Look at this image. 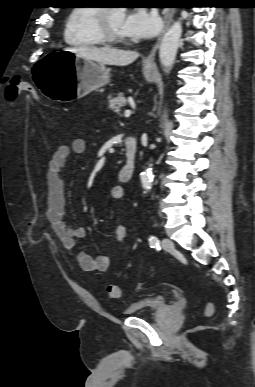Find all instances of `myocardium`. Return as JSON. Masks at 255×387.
<instances>
[{
  "label": "myocardium",
  "instance_id": "obj_1",
  "mask_svg": "<svg viewBox=\"0 0 255 387\" xmlns=\"http://www.w3.org/2000/svg\"><path fill=\"white\" fill-rule=\"evenodd\" d=\"M113 8H99L96 15L97 30L104 41L108 44H121L126 41V37L117 34L110 23V13Z\"/></svg>",
  "mask_w": 255,
  "mask_h": 387
}]
</instances>
